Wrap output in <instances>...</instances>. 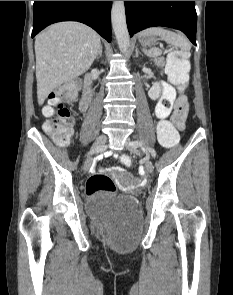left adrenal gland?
Instances as JSON below:
<instances>
[{
	"label": "left adrenal gland",
	"instance_id": "obj_1",
	"mask_svg": "<svg viewBox=\"0 0 233 295\" xmlns=\"http://www.w3.org/2000/svg\"><path fill=\"white\" fill-rule=\"evenodd\" d=\"M135 52H136V57H138L139 56V54H141L140 52H139V50H138V48L136 47V50H135ZM142 55V54H141Z\"/></svg>",
	"mask_w": 233,
	"mask_h": 295
}]
</instances>
